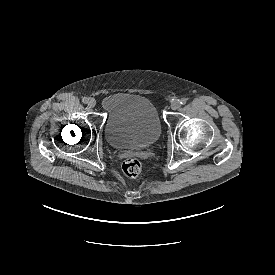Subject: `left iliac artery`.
<instances>
[{
  "label": "left iliac artery",
  "instance_id": "obj_1",
  "mask_svg": "<svg viewBox=\"0 0 275 275\" xmlns=\"http://www.w3.org/2000/svg\"><path fill=\"white\" fill-rule=\"evenodd\" d=\"M186 102H187V99H186V98H182V99L180 100V104H182V105L186 104Z\"/></svg>",
  "mask_w": 275,
  "mask_h": 275
}]
</instances>
